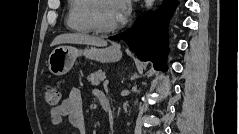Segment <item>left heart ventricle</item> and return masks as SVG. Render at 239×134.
<instances>
[{"label":"left heart ventricle","mask_w":239,"mask_h":134,"mask_svg":"<svg viewBox=\"0 0 239 134\" xmlns=\"http://www.w3.org/2000/svg\"><path fill=\"white\" fill-rule=\"evenodd\" d=\"M97 17L99 23L105 27H111L118 24L113 12L112 1L104 0L100 2L97 9Z\"/></svg>","instance_id":"b2bd125f"}]
</instances>
